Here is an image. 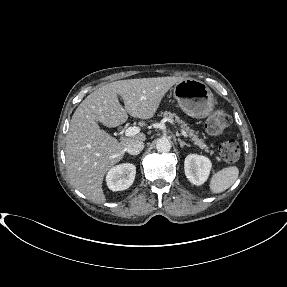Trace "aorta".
Segmentation results:
<instances>
[{
  "instance_id": "1",
  "label": "aorta",
  "mask_w": 287,
  "mask_h": 287,
  "mask_svg": "<svg viewBox=\"0 0 287 287\" xmlns=\"http://www.w3.org/2000/svg\"><path fill=\"white\" fill-rule=\"evenodd\" d=\"M156 149L160 153L169 152L171 149V142L167 138H160L156 142Z\"/></svg>"
}]
</instances>
